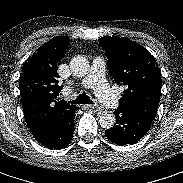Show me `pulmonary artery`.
Returning a JSON list of instances; mask_svg holds the SVG:
<instances>
[{
	"label": "pulmonary artery",
	"instance_id": "e3ab8cb5",
	"mask_svg": "<svg viewBox=\"0 0 183 183\" xmlns=\"http://www.w3.org/2000/svg\"><path fill=\"white\" fill-rule=\"evenodd\" d=\"M105 62L102 58L96 57L89 74L81 81L85 88H92L101 102L110 108L118 106V99L111 91L105 80Z\"/></svg>",
	"mask_w": 183,
	"mask_h": 183
}]
</instances>
